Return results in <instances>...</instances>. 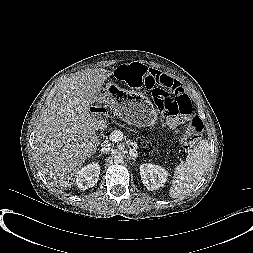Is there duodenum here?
<instances>
[{"label": "duodenum", "mask_w": 253, "mask_h": 253, "mask_svg": "<svg viewBox=\"0 0 253 253\" xmlns=\"http://www.w3.org/2000/svg\"><path fill=\"white\" fill-rule=\"evenodd\" d=\"M90 111L94 124L97 126H103L106 118V110L102 107H92Z\"/></svg>", "instance_id": "410a0bca"}]
</instances>
